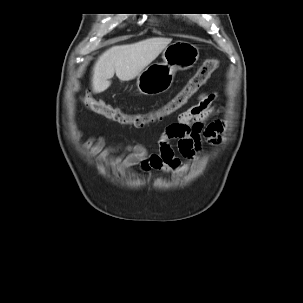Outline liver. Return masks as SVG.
<instances>
[{
	"instance_id": "1",
	"label": "liver",
	"mask_w": 303,
	"mask_h": 303,
	"mask_svg": "<svg viewBox=\"0 0 303 303\" xmlns=\"http://www.w3.org/2000/svg\"><path fill=\"white\" fill-rule=\"evenodd\" d=\"M171 41L170 38L155 37L111 47L94 64L91 79L93 93L105 91L111 85V78L115 73L121 81L134 79Z\"/></svg>"
}]
</instances>
